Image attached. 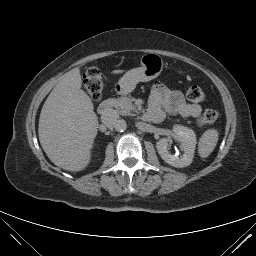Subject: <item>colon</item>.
Instances as JSON below:
<instances>
[{
    "label": "colon",
    "mask_w": 256,
    "mask_h": 256,
    "mask_svg": "<svg viewBox=\"0 0 256 256\" xmlns=\"http://www.w3.org/2000/svg\"><path fill=\"white\" fill-rule=\"evenodd\" d=\"M83 86L92 99L97 100L101 97L103 92V74L97 66L91 65L87 68L83 76ZM186 97L192 102L199 103L204 100L205 95L199 87L192 86L186 91ZM219 116L218 111L207 109L197 119L196 123L199 126L214 123L218 120Z\"/></svg>",
    "instance_id": "1"
}]
</instances>
